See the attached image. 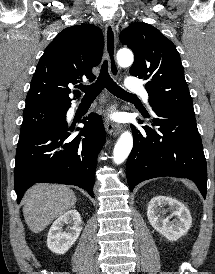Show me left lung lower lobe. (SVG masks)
Wrapping results in <instances>:
<instances>
[{
  "label": "left lung lower lobe",
  "instance_id": "0a47b994",
  "mask_svg": "<svg viewBox=\"0 0 215 274\" xmlns=\"http://www.w3.org/2000/svg\"><path fill=\"white\" fill-rule=\"evenodd\" d=\"M152 125H132L134 146L126 172L130 190L142 181L173 176L191 179L206 197L207 165L195 114L165 105H151Z\"/></svg>",
  "mask_w": 215,
  "mask_h": 274
}]
</instances>
